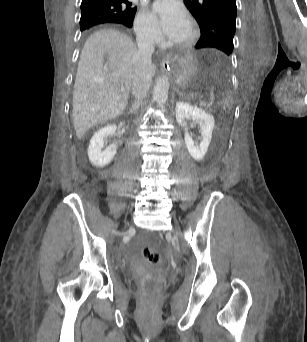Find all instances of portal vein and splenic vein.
<instances>
[{"label":"portal vein and splenic vein","mask_w":307,"mask_h":342,"mask_svg":"<svg viewBox=\"0 0 307 342\" xmlns=\"http://www.w3.org/2000/svg\"><path fill=\"white\" fill-rule=\"evenodd\" d=\"M198 95L200 94L199 92L197 93ZM202 95L200 94L199 96H198V98H197V101L199 102V105L200 106H203L204 105V102L202 101L203 99H202Z\"/></svg>","instance_id":"1"}]
</instances>
